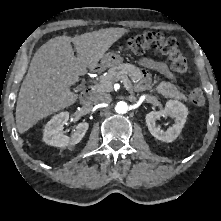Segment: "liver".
<instances>
[{
  "mask_svg": "<svg viewBox=\"0 0 221 221\" xmlns=\"http://www.w3.org/2000/svg\"><path fill=\"white\" fill-rule=\"evenodd\" d=\"M123 33L122 28H107L75 37L58 36L43 44L34 54L19 91L18 132L22 134L39 120L74 104L78 95L70 86L86 74L87 68L95 69Z\"/></svg>",
  "mask_w": 221,
  "mask_h": 221,
  "instance_id": "obj_1",
  "label": "liver"
}]
</instances>
